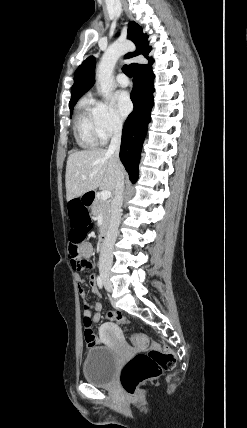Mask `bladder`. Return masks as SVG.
<instances>
[{
	"instance_id": "obj_1",
	"label": "bladder",
	"mask_w": 247,
	"mask_h": 428,
	"mask_svg": "<svg viewBox=\"0 0 247 428\" xmlns=\"http://www.w3.org/2000/svg\"><path fill=\"white\" fill-rule=\"evenodd\" d=\"M119 364L117 352L107 346H96L87 350L83 362L85 380L96 386L110 385Z\"/></svg>"
}]
</instances>
